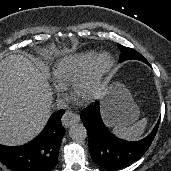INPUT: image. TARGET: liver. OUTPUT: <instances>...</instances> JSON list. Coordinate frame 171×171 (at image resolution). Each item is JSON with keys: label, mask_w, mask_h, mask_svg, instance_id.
Here are the masks:
<instances>
[{"label": "liver", "mask_w": 171, "mask_h": 171, "mask_svg": "<svg viewBox=\"0 0 171 171\" xmlns=\"http://www.w3.org/2000/svg\"><path fill=\"white\" fill-rule=\"evenodd\" d=\"M52 91L43 70L20 54L0 62V144L35 138L51 115Z\"/></svg>", "instance_id": "6515ba94"}]
</instances>
